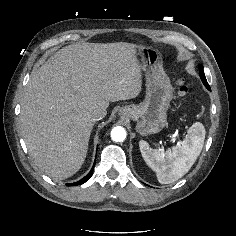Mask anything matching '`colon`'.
I'll return each mask as SVG.
<instances>
[{"mask_svg":"<svg viewBox=\"0 0 236 236\" xmlns=\"http://www.w3.org/2000/svg\"><path fill=\"white\" fill-rule=\"evenodd\" d=\"M179 94L182 97H190L191 93L183 80L179 81Z\"/></svg>","mask_w":236,"mask_h":236,"instance_id":"5ec220e1","label":"colon"}]
</instances>
